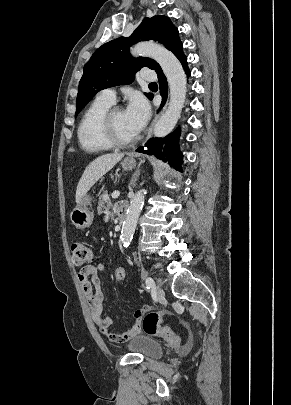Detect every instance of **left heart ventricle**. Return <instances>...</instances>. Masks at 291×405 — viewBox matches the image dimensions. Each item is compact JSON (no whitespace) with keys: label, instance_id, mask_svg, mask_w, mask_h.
Returning <instances> with one entry per match:
<instances>
[{"label":"left heart ventricle","instance_id":"b2bd125f","mask_svg":"<svg viewBox=\"0 0 291 405\" xmlns=\"http://www.w3.org/2000/svg\"><path fill=\"white\" fill-rule=\"evenodd\" d=\"M114 129L117 136L123 140H129L134 138L137 133L131 128L125 111H120L115 114L113 119Z\"/></svg>","mask_w":291,"mask_h":405}]
</instances>
